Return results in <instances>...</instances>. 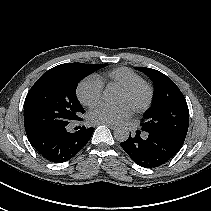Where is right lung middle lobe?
<instances>
[{
	"label": "right lung middle lobe",
	"instance_id": "right-lung-middle-lobe-1",
	"mask_svg": "<svg viewBox=\"0 0 211 211\" xmlns=\"http://www.w3.org/2000/svg\"><path fill=\"white\" fill-rule=\"evenodd\" d=\"M107 64L69 63L60 71L45 72L29 90L24 103L25 130L68 125L81 119L84 109L76 97L78 83Z\"/></svg>",
	"mask_w": 211,
	"mask_h": 211
}]
</instances>
